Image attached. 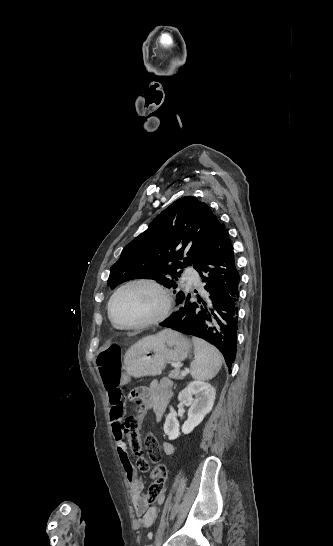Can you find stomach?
<instances>
[{
	"mask_svg": "<svg viewBox=\"0 0 333 546\" xmlns=\"http://www.w3.org/2000/svg\"><path fill=\"white\" fill-rule=\"evenodd\" d=\"M191 349V341L186 336L164 329L132 345L125 354L123 368L135 378L157 376L167 363L185 360Z\"/></svg>",
	"mask_w": 333,
	"mask_h": 546,
	"instance_id": "0dacf381",
	"label": "stomach"
}]
</instances>
